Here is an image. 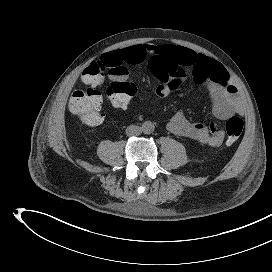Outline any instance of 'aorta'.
<instances>
[{
    "mask_svg": "<svg viewBox=\"0 0 272 272\" xmlns=\"http://www.w3.org/2000/svg\"><path fill=\"white\" fill-rule=\"evenodd\" d=\"M142 132L144 134H151L154 132V129H155V126L153 124V122L151 121H145L143 124H142Z\"/></svg>",
    "mask_w": 272,
    "mask_h": 272,
    "instance_id": "obj_1",
    "label": "aorta"
}]
</instances>
